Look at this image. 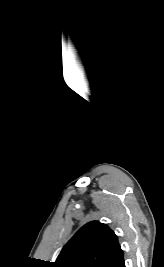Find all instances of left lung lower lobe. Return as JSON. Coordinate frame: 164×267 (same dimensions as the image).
<instances>
[{"instance_id":"0a47b994","label":"left lung lower lobe","mask_w":164,"mask_h":267,"mask_svg":"<svg viewBox=\"0 0 164 267\" xmlns=\"http://www.w3.org/2000/svg\"><path fill=\"white\" fill-rule=\"evenodd\" d=\"M106 267H125L123 252L120 250L116 253V255L111 259V261L107 264Z\"/></svg>"}]
</instances>
